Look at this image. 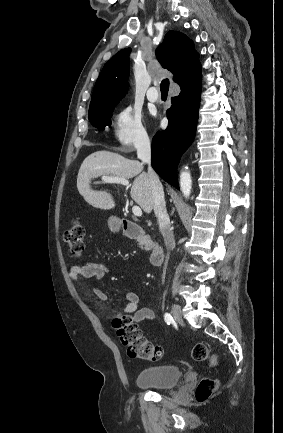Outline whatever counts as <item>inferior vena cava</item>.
Wrapping results in <instances>:
<instances>
[{
  "instance_id": "obj_1",
  "label": "inferior vena cava",
  "mask_w": 283,
  "mask_h": 433,
  "mask_svg": "<svg viewBox=\"0 0 283 433\" xmlns=\"http://www.w3.org/2000/svg\"><path fill=\"white\" fill-rule=\"evenodd\" d=\"M138 158H141L142 162H148V178L150 180V186L152 188L153 200H154V212L160 225L161 235L164 237L165 245L169 251L175 249V239L171 231V225L169 223V217L166 212V202L164 198L163 186L151 166V144L150 140H143L141 146L137 150Z\"/></svg>"
}]
</instances>
